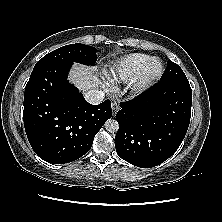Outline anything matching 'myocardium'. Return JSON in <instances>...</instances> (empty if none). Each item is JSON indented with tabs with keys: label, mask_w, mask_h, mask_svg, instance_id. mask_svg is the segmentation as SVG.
I'll return each instance as SVG.
<instances>
[{
	"label": "myocardium",
	"mask_w": 222,
	"mask_h": 222,
	"mask_svg": "<svg viewBox=\"0 0 222 222\" xmlns=\"http://www.w3.org/2000/svg\"><path fill=\"white\" fill-rule=\"evenodd\" d=\"M158 64L155 70L154 65ZM164 66L159 58H152L134 84V91L142 93L152 87L162 76Z\"/></svg>",
	"instance_id": "obj_1"
}]
</instances>
